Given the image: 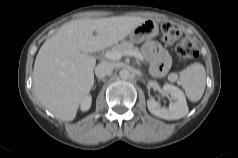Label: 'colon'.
Instances as JSON below:
<instances>
[{"mask_svg":"<svg viewBox=\"0 0 238 158\" xmlns=\"http://www.w3.org/2000/svg\"><path fill=\"white\" fill-rule=\"evenodd\" d=\"M162 40L166 45L176 44V52L179 57L193 59L198 56L193 43L184 37L181 31L172 23L164 22L161 24Z\"/></svg>","mask_w":238,"mask_h":158,"instance_id":"colon-1","label":"colon"}]
</instances>
